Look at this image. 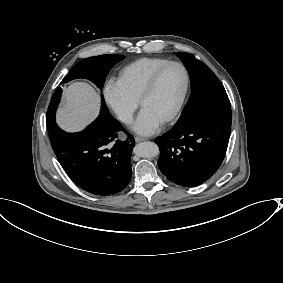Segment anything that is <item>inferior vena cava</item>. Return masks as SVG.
Wrapping results in <instances>:
<instances>
[{
  "label": "inferior vena cava",
  "instance_id": "obj_1",
  "mask_svg": "<svg viewBox=\"0 0 283 283\" xmlns=\"http://www.w3.org/2000/svg\"><path fill=\"white\" fill-rule=\"evenodd\" d=\"M120 121L125 124H130L133 121V111L130 108H120L116 112Z\"/></svg>",
  "mask_w": 283,
  "mask_h": 283
}]
</instances>
